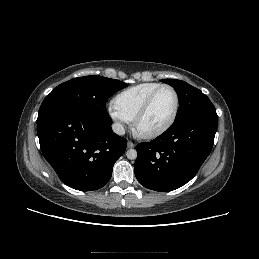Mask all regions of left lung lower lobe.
I'll list each match as a JSON object with an SVG mask.
<instances>
[{
	"mask_svg": "<svg viewBox=\"0 0 259 259\" xmlns=\"http://www.w3.org/2000/svg\"><path fill=\"white\" fill-rule=\"evenodd\" d=\"M217 120L218 116L189 115L151 142L138 144L134 171L140 184L167 192L189 182L211 152Z\"/></svg>",
	"mask_w": 259,
	"mask_h": 259,
	"instance_id": "1",
	"label": "left lung lower lobe"
}]
</instances>
